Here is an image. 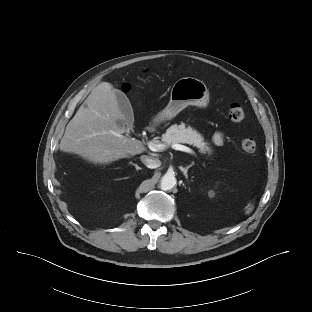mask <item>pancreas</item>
<instances>
[{"label": "pancreas", "mask_w": 312, "mask_h": 312, "mask_svg": "<svg viewBox=\"0 0 312 312\" xmlns=\"http://www.w3.org/2000/svg\"><path fill=\"white\" fill-rule=\"evenodd\" d=\"M162 141L168 146L178 143L193 145L202 154H212V149L209 143L204 141V137L191 126L186 127L184 123L170 126L162 135Z\"/></svg>", "instance_id": "cf45deb5"}]
</instances>
